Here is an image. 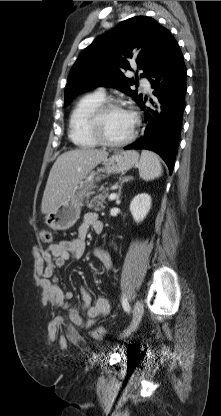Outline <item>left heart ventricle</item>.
<instances>
[{"label": "left heart ventricle", "mask_w": 221, "mask_h": 416, "mask_svg": "<svg viewBox=\"0 0 221 416\" xmlns=\"http://www.w3.org/2000/svg\"><path fill=\"white\" fill-rule=\"evenodd\" d=\"M133 117L121 108L109 109L103 116L102 128L105 136L112 141H121L131 132Z\"/></svg>", "instance_id": "1"}]
</instances>
